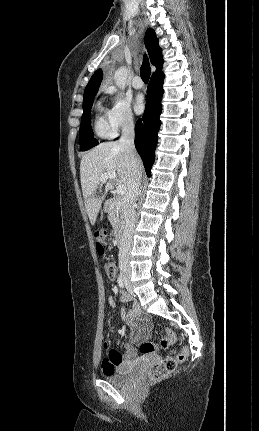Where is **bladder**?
<instances>
[{
  "instance_id": "bladder-1",
  "label": "bladder",
  "mask_w": 259,
  "mask_h": 431,
  "mask_svg": "<svg viewBox=\"0 0 259 431\" xmlns=\"http://www.w3.org/2000/svg\"><path fill=\"white\" fill-rule=\"evenodd\" d=\"M138 369V363H125L111 372H104L103 378L113 385H122L128 381Z\"/></svg>"
}]
</instances>
